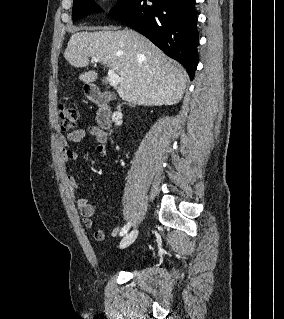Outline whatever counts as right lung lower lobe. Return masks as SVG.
<instances>
[{
    "label": "right lung lower lobe",
    "instance_id": "obj_1",
    "mask_svg": "<svg viewBox=\"0 0 284 319\" xmlns=\"http://www.w3.org/2000/svg\"><path fill=\"white\" fill-rule=\"evenodd\" d=\"M132 0L113 8L111 18L124 22L180 62L192 80L198 64L195 0Z\"/></svg>",
    "mask_w": 284,
    "mask_h": 319
}]
</instances>
